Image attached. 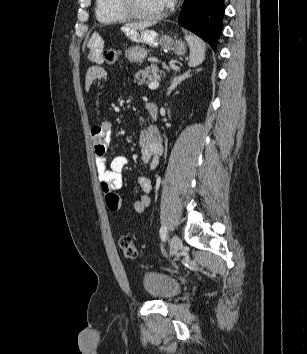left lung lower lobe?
Returning <instances> with one entry per match:
<instances>
[{
  "label": "left lung lower lobe",
  "instance_id": "1",
  "mask_svg": "<svg viewBox=\"0 0 307 354\" xmlns=\"http://www.w3.org/2000/svg\"><path fill=\"white\" fill-rule=\"evenodd\" d=\"M224 9V0H185L178 23L216 50Z\"/></svg>",
  "mask_w": 307,
  "mask_h": 354
}]
</instances>
